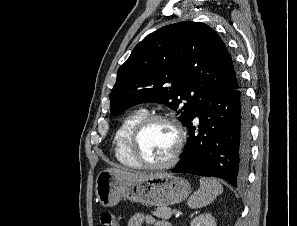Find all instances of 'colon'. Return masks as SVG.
<instances>
[{"label": "colon", "mask_w": 297, "mask_h": 226, "mask_svg": "<svg viewBox=\"0 0 297 226\" xmlns=\"http://www.w3.org/2000/svg\"><path fill=\"white\" fill-rule=\"evenodd\" d=\"M100 226H118V223L112 213L104 212L100 216Z\"/></svg>", "instance_id": "1"}]
</instances>
